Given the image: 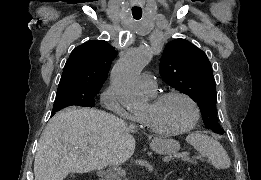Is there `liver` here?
Returning <instances> with one entry per match:
<instances>
[{
	"label": "liver",
	"mask_w": 261,
	"mask_h": 180,
	"mask_svg": "<svg viewBox=\"0 0 261 180\" xmlns=\"http://www.w3.org/2000/svg\"><path fill=\"white\" fill-rule=\"evenodd\" d=\"M135 128L113 114L88 108H66L48 122L38 144L35 180H64L121 166L135 152Z\"/></svg>",
	"instance_id": "liver-1"
}]
</instances>
